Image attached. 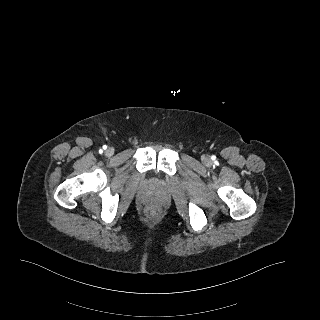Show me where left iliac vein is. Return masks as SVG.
Listing matches in <instances>:
<instances>
[{
  "label": "left iliac vein",
  "instance_id": "left-iliac-vein-1",
  "mask_svg": "<svg viewBox=\"0 0 320 320\" xmlns=\"http://www.w3.org/2000/svg\"><path fill=\"white\" fill-rule=\"evenodd\" d=\"M203 162H204L205 164H209L211 161H210V159H209L208 157H204V158H203Z\"/></svg>",
  "mask_w": 320,
  "mask_h": 320
}]
</instances>
